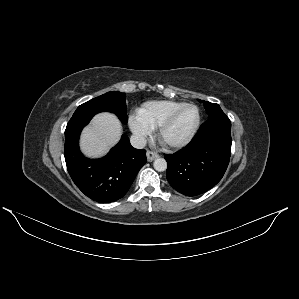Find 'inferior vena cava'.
<instances>
[{"mask_svg":"<svg viewBox=\"0 0 299 299\" xmlns=\"http://www.w3.org/2000/svg\"><path fill=\"white\" fill-rule=\"evenodd\" d=\"M130 142L131 145L137 149H143L146 146V139L141 135H132Z\"/></svg>","mask_w":299,"mask_h":299,"instance_id":"inferior-vena-cava-1","label":"inferior vena cava"}]
</instances>
